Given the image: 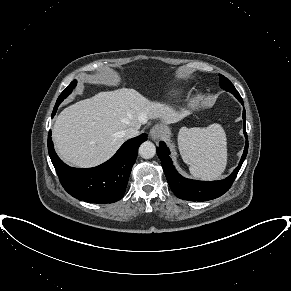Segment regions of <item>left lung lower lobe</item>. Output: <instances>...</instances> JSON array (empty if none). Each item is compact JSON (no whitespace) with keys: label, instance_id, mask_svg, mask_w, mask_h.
I'll return each mask as SVG.
<instances>
[{"label":"left lung lower lobe","instance_id":"left-lung-lower-lobe-1","mask_svg":"<svg viewBox=\"0 0 291 291\" xmlns=\"http://www.w3.org/2000/svg\"><path fill=\"white\" fill-rule=\"evenodd\" d=\"M236 98L240 101L242 105H244L241 96L237 95ZM243 120H244L243 131L246 137L244 152L238 167H236V169L231 173L230 176L223 180L203 182L184 178L176 171L172 163V160L169 156L170 154L169 149L164 144V142H160L159 147H157V154L160 160L162 161L161 165L166 175L167 182L173 193L178 198L188 201H207L220 197L229 190L246 158L248 151V138L245 125L246 122L245 109L243 110Z\"/></svg>","mask_w":291,"mask_h":291}]
</instances>
